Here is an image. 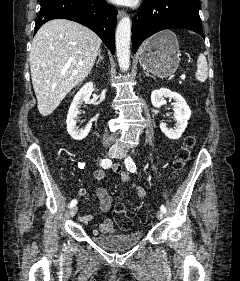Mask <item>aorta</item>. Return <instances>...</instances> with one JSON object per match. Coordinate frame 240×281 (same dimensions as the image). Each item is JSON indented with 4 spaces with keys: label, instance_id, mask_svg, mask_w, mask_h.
Here are the masks:
<instances>
[{
    "label": "aorta",
    "instance_id": "1",
    "mask_svg": "<svg viewBox=\"0 0 240 281\" xmlns=\"http://www.w3.org/2000/svg\"><path fill=\"white\" fill-rule=\"evenodd\" d=\"M130 41L131 20L125 16L119 21L115 34L117 60L122 71H127L130 66Z\"/></svg>",
    "mask_w": 240,
    "mask_h": 281
}]
</instances>
